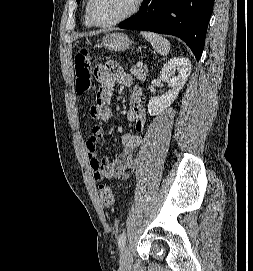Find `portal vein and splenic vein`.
<instances>
[{"mask_svg":"<svg viewBox=\"0 0 253 271\" xmlns=\"http://www.w3.org/2000/svg\"><path fill=\"white\" fill-rule=\"evenodd\" d=\"M139 67H143V63L142 62H138L137 64Z\"/></svg>","mask_w":253,"mask_h":271,"instance_id":"portal-vein-and-splenic-vein-1","label":"portal vein and splenic vein"}]
</instances>
